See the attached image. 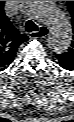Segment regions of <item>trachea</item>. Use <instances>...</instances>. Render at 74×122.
<instances>
[{"label":"trachea","instance_id":"trachea-1","mask_svg":"<svg viewBox=\"0 0 74 122\" xmlns=\"http://www.w3.org/2000/svg\"><path fill=\"white\" fill-rule=\"evenodd\" d=\"M25 30L27 32H35V31H38L39 28H38V26L32 20H28L25 23Z\"/></svg>","mask_w":74,"mask_h":122}]
</instances>
